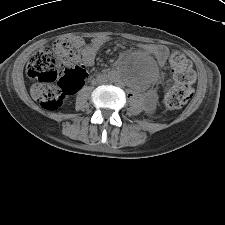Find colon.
Segmentation results:
<instances>
[{
    "instance_id": "1",
    "label": "colon",
    "mask_w": 225,
    "mask_h": 225,
    "mask_svg": "<svg viewBox=\"0 0 225 225\" xmlns=\"http://www.w3.org/2000/svg\"><path fill=\"white\" fill-rule=\"evenodd\" d=\"M84 41L78 37L65 36L52 46H45L36 52L26 67L29 78L35 83L31 87L32 97L46 110L54 111L66 97L77 92L87 78V72L77 66ZM173 85L164 95L167 109L183 107L193 96L194 72L190 61L180 52H173L169 58ZM64 76L59 79V74Z\"/></svg>"
}]
</instances>
